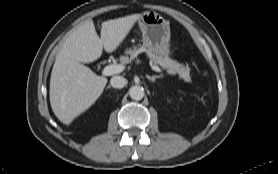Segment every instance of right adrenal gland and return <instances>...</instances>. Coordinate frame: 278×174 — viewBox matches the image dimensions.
Masks as SVG:
<instances>
[{"label": "right adrenal gland", "instance_id": "right-adrenal-gland-1", "mask_svg": "<svg viewBox=\"0 0 278 174\" xmlns=\"http://www.w3.org/2000/svg\"><path fill=\"white\" fill-rule=\"evenodd\" d=\"M110 88H111V86H108V87H107V89H110Z\"/></svg>", "mask_w": 278, "mask_h": 174}]
</instances>
